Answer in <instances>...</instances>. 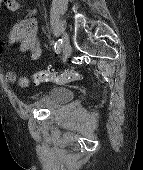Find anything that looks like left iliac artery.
<instances>
[{"mask_svg": "<svg viewBox=\"0 0 143 170\" xmlns=\"http://www.w3.org/2000/svg\"><path fill=\"white\" fill-rule=\"evenodd\" d=\"M63 43V40L62 39H59L56 43H55V52L56 53H59L60 52V49H61V45Z\"/></svg>", "mask_w": 143, "mask_h": 170, "instance_id": "44dca946", "label": "left iliac artery"}]
</instances>
